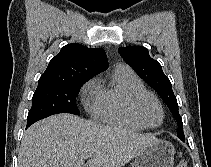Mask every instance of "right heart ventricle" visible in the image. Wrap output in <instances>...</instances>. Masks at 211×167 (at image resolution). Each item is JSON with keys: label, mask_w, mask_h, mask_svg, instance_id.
<instances>
[{"label": "right heart ventricle", "mask_w": 211, "mask_h": 167, "mask_svg": "<svg viewBox=\"0 0 211 167\" xmlns=\"http://www.w3.org/2000/svg\"><path fill=\"white\" fill-rule=\"evenodd\" d=\"M144 88L139 77L128 67L118 66L111 75L108 84L100 83V92L96 107L92 111L95 119L111 126L132 131L144 127L136 122L127 109L129 95Z\"/></svg>", "instance_id": "right-heart-ventricle-1"}]
</instances>
